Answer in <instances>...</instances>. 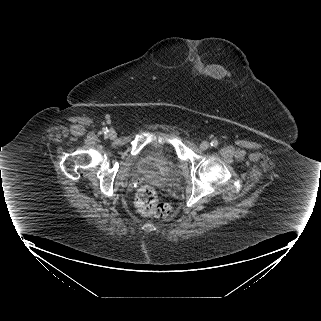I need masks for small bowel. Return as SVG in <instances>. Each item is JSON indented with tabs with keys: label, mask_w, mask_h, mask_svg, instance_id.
I'll use <instances>...</instances> for the list:
<instances>
[{
	"label": "small bowel",
	"mask_w": 321,
	"mask_h": 321,
	"mask_svg": "<svg viewBox=\"0 0 321 321\" xmlns=\"http://www.w3.org/2000/svg\"><path fill=\"white\" fill-rule=\"evenodd\" d=\"M205 73L211 75V76H226L228 75V71H226L224 68L218 66V65H211L209 66Z\"/></svg>",
	"instance_id": "1"
}]
</instances>
